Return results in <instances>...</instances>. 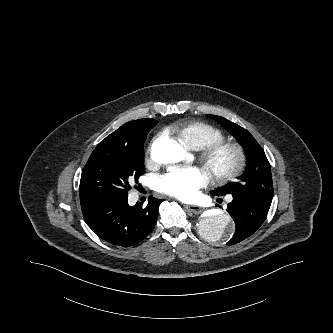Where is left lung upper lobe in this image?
<instances>
[{"label": "left lung upper lobe", "instance_id": "obj_1", "mask_svg": "<svg viewBox=\"0 0 333 333\" xmlns=\"http://www.w3.org/2000/svg\"><path fill=\"white\" fill-rule=\"evenodd\" d=\"M209 117L221 123L244 146L248 155L247 168L236 182L212 191V195L250 196L272 201L273 184L270 163L258 142L244 128L216 115Z\"/></svg>", "mask_w": 333, "mask_h": 333}]
</instances>
